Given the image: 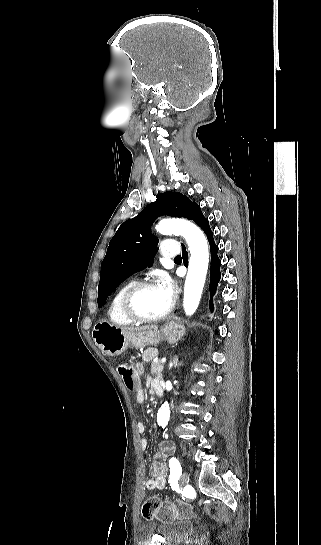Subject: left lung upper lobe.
<instances>
[{
    "label": "left lung upper lobe",
    "instance_id": "left-lung-upper-lobe-1",
    "mask_svg": "<svg viewBox=\"0 0 321 545\" xmlns=\"http://www.w3.org/2000/svg\"><path fill=\"white\" fill-rule=\"evenodd\" d=\"M198 208L187 196L169 191L159 194L156 201L125 221L111 239L101 265L98 306L126 278L152 264L158 239L151 234L150 227L156 218L168 215L191 219Z\"/></svg>",
    "mask_w": 321,
    "mask_h": 545
}]
</instances>
